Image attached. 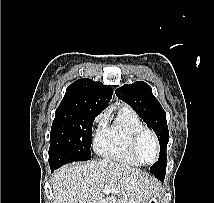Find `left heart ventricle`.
<instances>
[{
    "label": "left heart ventricle",
    "instance_id": "obj_1",
    "mask_svg": "<svg viewBox=\"0 0 214 203\" xmlns=\"http://www.w3.org/2000/svg\"><path fill=\"white\" fill-rule=\"evenodd\" d=\"M141 158L145 162H152L156 157V150L152 138L149 135L143 136L139 145Z\"/></svg>",
    "mask_w": 214,
    "mask_h": 203
}]
</instances>
